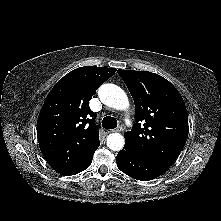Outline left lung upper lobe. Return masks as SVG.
I'll return each instance as SVG.
<instances>
[{"label": "left lung upper lobe", "mask_w": 221, "mask_h": 221, "mask_svg": "<svg viewBox=\"0 0 221 221\" xmlns=\"http://www.w3.org/2000/svg\"><path fill=\"white\" fill-rule=\"evenodd\" d=\"M136 109L125 146L169 168L188 137V114L182 96L165 78L147 71L118 70Z\"/></svg>", "instance_id": "1"}]
</instances>
